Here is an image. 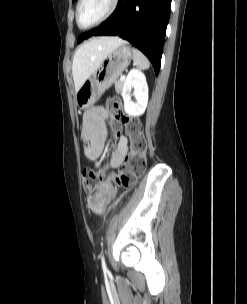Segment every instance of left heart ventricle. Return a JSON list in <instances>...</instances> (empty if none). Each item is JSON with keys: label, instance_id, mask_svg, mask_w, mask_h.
I'll use <instances>...</instances> for the list:
<instances>
[{"label": "left heart ventricle", "instance_id": "left-heart-ventricle-1", "mask_svg": "<svg viewBox=\"0 0 247 304\" xmlns=\"http://www.w3.org/2000/svg\"><path fill=\"white\" fill-rule=\"evenodd\" d=\"M110 0H84L79 12L81 26H88L98 20L108 9Z\"/></svg>", "mask_w": 247, "mask_h": 304}]
</instances>
